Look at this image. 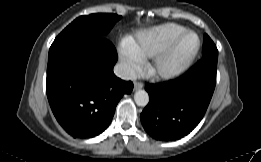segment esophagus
I'll return each instance as SVG.
<instances>
[{
  "instance_id": "1",
  "label": "esophagus",
  "mask_w": 261,
  "mask_h": 162,
  "mask_svg": "<svg viewBox=\"0 0 261 162\" xmlns=\"http://www.w3.org/2000/svg\"><path fill=\"white\" fill-rule=\"evenodd\" d=\"M143 88V84L140 82H135L134 83V91L142 89Z\"/></svg>"
}]
</instances>
